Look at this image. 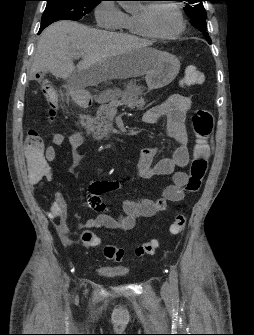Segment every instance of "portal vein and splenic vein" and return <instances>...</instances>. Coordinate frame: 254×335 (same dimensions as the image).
<instances>
[{"label":"portal vein and splenic vein","mask_w":254,"mask_h":335,"mask_svg":"<svg viewBox=\"0 0 254 335\" xmlns=\"http://www.w3.org/2000/svg\"><path fill=\"white\" fill-rule=\"evenodd\" d=\"M80 57H82V54H80V53L75 55V58H80Z\"/></svg>","instance_id":"18ae733b"}]
</instances>
